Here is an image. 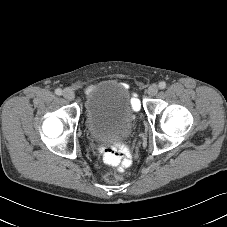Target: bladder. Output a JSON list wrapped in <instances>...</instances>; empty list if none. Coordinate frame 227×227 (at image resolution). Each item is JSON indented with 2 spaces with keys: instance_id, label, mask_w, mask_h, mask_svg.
<instances>
[{
  "instance_id": "1",
  "label": "bladder",
  "mask_w": 227,
  "mask_h": 227,
  "mask_svg": "<svg viewBox=\"0 0 227 227\" xmlns=\"http://www.w3.org/2000/svg\"><path fill=\"white\" fill-rule=\"evenodd\" d=\"M87 128L90 135L112 144L128 139L135 127V112L128 89L117 83H103L86 98Z\"/></svg>"
}]
</instances>
